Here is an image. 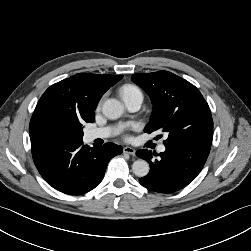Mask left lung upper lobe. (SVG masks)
<instances>
[{"instance_id":"obj_1","label":"left lung upper lobe","mask_w":251,"mask_h":251,"mask_svg":"<svg viewBox=\"0 0 251 251\" xmlns=\"http://www.w3.org/2000/svg\"><path fill=\"white\" fill-rule=\"evenodd\" d=\"M132 81L150 96L153 103L145 132H166L165 146L187 147L196 143L211 146L213 120L197 87L167 71L133 74Z\"/></svg>"}]
</instances>
